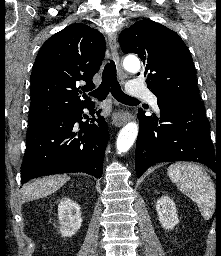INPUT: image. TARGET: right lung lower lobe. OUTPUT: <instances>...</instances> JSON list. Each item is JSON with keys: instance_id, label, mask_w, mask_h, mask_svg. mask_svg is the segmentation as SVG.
Masks as SVG:
<instances>
[{"instance_id": "1", "label": "right lung lower lobe", "mask_w": 221, "mask_h": 256, "mask_svg": "<svg viewBox=\"0 0 221 256\" xmlns=\"http://www.w3.org/2000/svg\"><path fill=\"white\" fill-rule=\"evenodd\" d=\"M92 107L89 102L29 125L21 167L22 184L43 175L70 172L101 178L109 132L102 116L81 122L84 108L94 116ZM76 122L81 128L79 134L73 132Z\"/></svg>"}]
</instances>
